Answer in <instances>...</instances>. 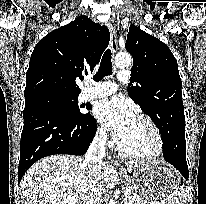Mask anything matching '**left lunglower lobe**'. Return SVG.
<instances>
[{
    "label": "left lung lower lobe",
    "instance_id": "obj_1",
    "mask_svg": "<svg viewBox=\"0 0 206 204\" xmlns=\"http://www.w3.org/2000/svg\"><path fill=\"white\" fill-rule=\"evenodd\" d=\"M179 127L177 129L173 128L174 130L172 132H169L166 137L162 138L163 155L166 161L176 167V169L188 179L189 172L186 162L185 125Z\"/></svg>",
    "mask_w": 206,
    "mask_h": 204
}]
</instances>
